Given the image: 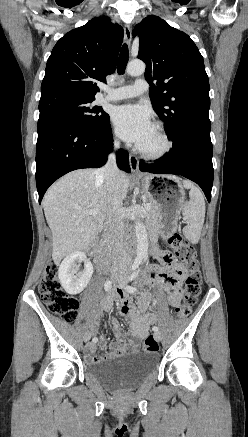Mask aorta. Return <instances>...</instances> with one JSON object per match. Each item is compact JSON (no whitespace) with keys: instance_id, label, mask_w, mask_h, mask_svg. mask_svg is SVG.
Instances as JSON below:
<instances>
[{"instance_id":"762f6f07","label":"aorta","mask_w":248,"mask_h":437,"mask_svg":"<svg viewBox=\"0 0 248 437\" xmlns=\"http://www.w3.org/2000/svg\"><path fill=\"white\" fill-rule=\"evenodd\" d=\"M131 76H139L145 72V64L142 61H131L126 68ZM135 235L137 240V260H145L148 257V235L145 225L138 219L135 221Z\"/></svg>"}]
</instances>
